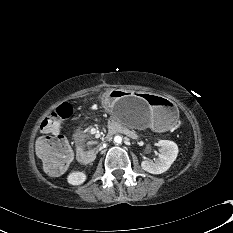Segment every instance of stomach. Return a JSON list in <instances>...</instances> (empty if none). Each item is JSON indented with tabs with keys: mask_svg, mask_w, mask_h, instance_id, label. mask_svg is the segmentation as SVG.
<instances>
[{
	"mask_svg": "<svg viewBox=\"0 0 233 233\" xmlns=\"http://www.w3.org/2000/svg\"><path fill=\"white\" fill-rule=\"evenodd\" d=\"M102 104L119 122L133 128L165 130L173 126L179 111L176 104L161 95L114 89L105 94Z\"/></svg>",
	"mask_w": 233,
	"mask_h": 233,
	"instance_id": "stomach-1",
	"label": "stomach"
}]
</instances>
